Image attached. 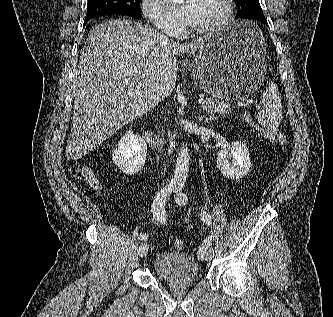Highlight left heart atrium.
<instances>
[{"label": "left heart atrium", "mask_w": 333, "mask_h": 317, "mask_svg": "<svg viewBox=\"0 0 333 317\" xmlns=\"http://www.w3.org/2000/svg\"><path fill=\"white\" fill-rule=\"evenodd\" d=\"M195 0H185L180 6L173 9V14L182 22L188 23L193 14Z\"/></svg>", "instance_id": "left-heart-atrium-1"}]
</instances>
